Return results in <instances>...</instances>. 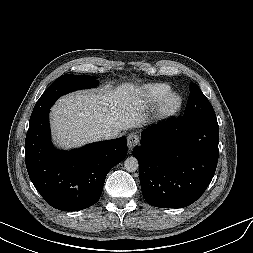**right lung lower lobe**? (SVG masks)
<instances>
[{
	"label": "right lung lower lobe",
	"instance_id": "1",
	"mask_svg": "<svg viewBox=\"0 0 253 253\" xmlns=\"http://www.w3.org/2000/svg\"><path fill=\"white\" fill-rule=\"evenodd\" d=\"M49 110L29 121L25 163L37 191L52 207L78 211L95 204L106 175L127 155L126 137L59 151L50 138Z\"/></svg>",
	"mask_w": 253,
	"mask_h": 253
}]
</instances>
